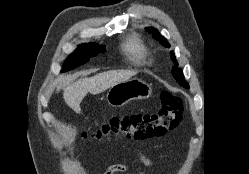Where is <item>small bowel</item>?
<instances>
[{"mask_svg": "<svg viewBox=\"0 0 249 174\" xmlns=\"http://www.w3.org/2000/svg\"><path fill=\"white\" fill-rule=\"evenodd\" d=\"M139 158L140 160L146 165V166H150L152 164V161L146 157L144 154H142L141 152H138ZM128 168L126 165L123 164H113L111 166H109L103 174H116V173H120V172H127ZM139 174H142L141 172Z\"/></svg>", "mask_w": 249, "mask_h": 174, "instance_id": "obj_1", "label": "small bowel"}]
</instances>
